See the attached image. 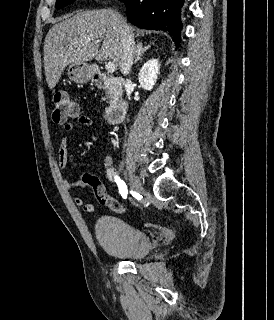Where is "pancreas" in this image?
Here are the masks:
<instances>
[{
  "mask_svg": "<svg viewBox=\"0 0 274 320\" xmlns=\"http://www.w3.org/2000/svg\"><path fill=\"white\" fill-rule=\"evenodd\" d=\"M105 94L109 98L108 104H113V102H118L117 98H120L119 92L117 88H115V86H110V88H107Z\"/></svg>",
  "mask_w": 274,
  "mask_h": 320,
  "instance_id": "1",
  "label": "pancreas"
}]
</instances>
